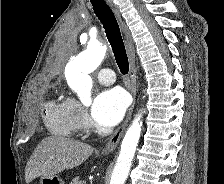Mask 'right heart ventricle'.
<instances>
[{
    "label": "right heart ventricle",
    "mask_w": 224,
    "mask_h": 184,
    "mask_svg": "<svg viewBox=\"0 0 224 184\" xmlns=\"http://www.w3.org/2000/svg\"><path fill=\"white\" fill-rule=\"evenodd\" d=\"M46 125L55 135L73 136L77 125L69 99H58L48 103L46 107Z\"/></svg>",
    "instance_id": "right-heart-ventricle-1"
}]
</instances>
